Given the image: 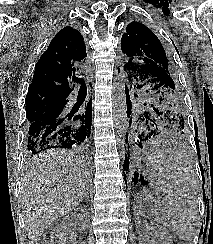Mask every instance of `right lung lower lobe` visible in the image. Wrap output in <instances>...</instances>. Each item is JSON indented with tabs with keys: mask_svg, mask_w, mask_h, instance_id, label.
I'll list each match as a JSON object with an SVG mask.
<instances>
[{
	"mask_svg": "<svg viewBox=\"0 0 213 244\" xmlns=\"http://www.w3.org/2000/svg\"><path fill=\"white\" fill-rule=\"evenodd\" d=\"M85 104V114H64V107L68 100L52 105L37 119L28 125L27 151L29 154H38L51 148L70 149L75 146H84L90 149V130L92 104Z\"/></svg>",
	"mask_w": 213,
	"mask_h": 244,
	"instance_id": "obj_1",
	"label": "right lung lower lobe"
}]
</instances>
